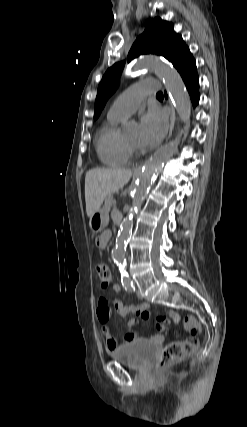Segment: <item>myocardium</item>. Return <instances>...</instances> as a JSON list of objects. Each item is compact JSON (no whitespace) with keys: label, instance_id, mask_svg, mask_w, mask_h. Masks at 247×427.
<instances>
[{"label":"myocardium","instance_id":"1","mask_svg":"<svg viewBox=\"0 0 247 427\" xmlns=\"http://www.w3.org/2000/svg\"><path fill=\"white\" fill-rule=\"evenodd\" d=\"M125 144L130 151V153H136L138 151V147L136 144L130 143L129 141L125 140Z\"/></svg>","mask_w":247,"mask_h":427}]
</instances>
